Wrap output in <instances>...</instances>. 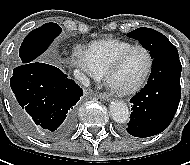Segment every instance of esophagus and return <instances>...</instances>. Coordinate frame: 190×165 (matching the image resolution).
I'll return each instance as SVG.
<instances>
[{
	"label": "esophagus",
	"mask_w": 190,
	"mask_h": 165,
	"mask_svg": "<svg viewBox=\"0 0 190 165\" xmlns=\"http://www.w3.org/2000/svg\"><path fill=\"white\" fill-rule=\"evenodd\" d=\"M99 98H100L101 100L108 101V100H110V95L107 94V93H100V94H99Z\"/></svg>",
	"instance_id": "esophagus-1"
}]
</instances>
